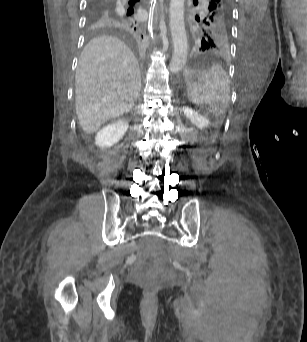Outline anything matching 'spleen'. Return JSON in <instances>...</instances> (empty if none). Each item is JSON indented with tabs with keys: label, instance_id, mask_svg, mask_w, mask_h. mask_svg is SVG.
<instances>
[{
	"label": "spleen",
	"instance_id": "spleen-1",
	"mask_svg": "<svg viewBox=\"0 0 307 342\" xmlns=\"http://www.w3.org/2000/svg\"><path fill=\"white\" fill-rule=\"evenodd\" d=\"M186 75H194V67H187ZM200 83H186L190 90L189 99L194 104H202V110L207 114H224L229 109L230 80L227 72L219 64H213L210 70L201 72Z\"/></svg>",
	"mask_w": 307,
	"mask_h": 342
}]
</instances>
